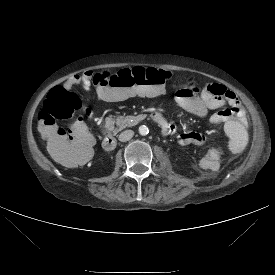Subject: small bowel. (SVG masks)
Masks as SVG:
<instances>
[{
    "instance_id": "c3829d8e",
    "label": "small bowel",
    "mask_w": 275,
    "mask_h": 275,
    "mask_svg": "<svg viewBox=\"0 0 275 275\" xmlns=\"http://www.w3.org/2000/svg\"><path fill=\"white\" fill-rule=\"evenodd\" d=\"M90 72L85 75H75L64 83L65 88L74 85H80L87 90L90 87ZM176 90V102L190 114L207 118L214 126H222L229 138V149L232 153H240L247 145L248 141V123L244 110L237 96L226 87L213 84L209 81L202 83L200 92L197 93L196 86L188 83L183 87L176 84L172 85ZM144 97H154L153 95ZM227 106V107H226ZM73 128L79 133L84 134V125L75 123ZM162 132L165 135H172L176 132V125L172 120L164 118V124L161 125ZM183 143L193 145L202 144L204 136L199 131L193 130L182 133L179 137ZM223 150L220 145L210 143L205 146L203 155L199 160L202 170L211 174H216L223 167Z\"/></svg>"
}]
</instances>
